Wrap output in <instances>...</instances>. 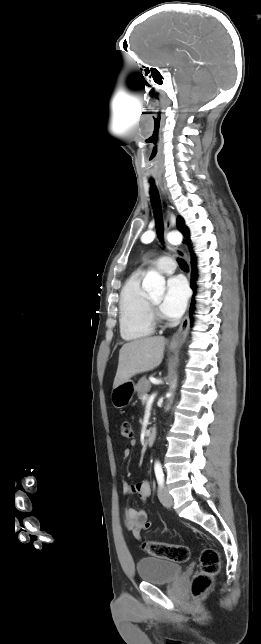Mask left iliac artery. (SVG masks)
Segmentation results:
<instances>
[{"mask_svg":"<svg viewBox=\"0 0 261 644\" xmlns=\"http://www.w3.org/2000/svg\"><path fill=\"white\" fill-rule=\"evenodd\" d=\"M154 470H155L157 482L160 486H162L164 484V473L160 462L158 461L155 462Z\"/></svg>","mask_w":261,"mask_h":644,"instance_id":"1","label":"left iliac artery"}]
</instances>
